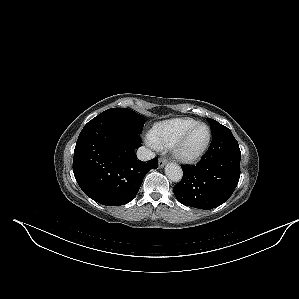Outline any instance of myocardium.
<instances>
[{
    "instance_id": "myocardium-1",
    "label": "myocardium",
    "mask_w": 299,
    "mask_h": 299,
    "mask_svg": "<svg viewBox=\"0 0 299 299\" xmlns=\"http://www.w3.org/2000/svg\"><path fill=\"white\" fill-rule=\"evenodd\" d=\"M199 126H203L207 129V139L204 143V145L196 152L194 153H187L184 150L185 143L190 136V134L194 131ZM212 140V132L210 127L201 122H197L193 126H191L189 129H187L177 140L176 142L172 145V153L173 156L183 162V163H192L198 159H200L208 150Z\"/></svg>"
}]
</instances>
